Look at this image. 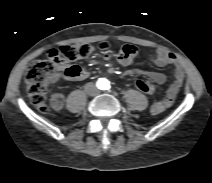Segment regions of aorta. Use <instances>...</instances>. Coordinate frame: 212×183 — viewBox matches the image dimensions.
Returning a JSON list of instances; mask_svg holds the SVG:
<instances>
[{
    "label": "aorta",
    "mask_w": 212,
    "mask_h": 183,
    "mask_svg": "<svg viewBox=\"0 0 212 183\" xmlns=\"http://www.w3.org/2000/svg\"><path fill=\"white\" fill-rule=\"evenodd\" d=\"M98 85L101 89L106 90L109 88V81L106 78H100L98 80Z\"/></svg>",
    "instance_id": "1"
}]
</instances>
